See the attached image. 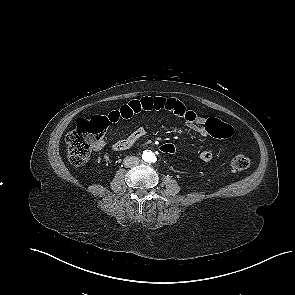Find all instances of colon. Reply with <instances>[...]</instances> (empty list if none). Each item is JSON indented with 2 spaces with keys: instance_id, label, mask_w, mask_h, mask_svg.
Instances as JSON below:
<instances>
[{
  "instance_id": "obj_1",
  "label": "colon",
  "mask_w": 295,
  "mask_h": 295,
  "mask_svg": "<svg viewBox=\"0 0 295 295\" xmlns=\"http://www.w3.org/2000/svg\"><path fill=\"white\" fill-rule=\"evenodd\" d=\"M107 121L103 116H93L89 119H79L76 128L66 136V146L69 161L76 166L83 165L89 158L93 145L102 138L107 128ZM207 131L217 138H230L234 134V128L217 119H210L206 124ZM159 149L164 154L174 155L176 146L170 141H162ZM232 168L242 171L249 167L250 159L243 155H236L232 160Z\"/></svg>"
}]
</instances>
